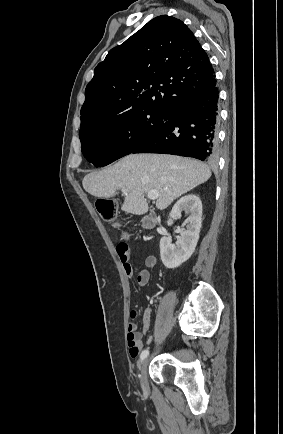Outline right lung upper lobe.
Masks as SVG:
<instances>
[{
	"label": "right lung upper lobe",
	"mask_w": 283,
	"mask_h": 434,
	"mask_svg": "<svg viewBox=\"0 0 283 434\" xmlns=\"http://www.w3.org/2000/svg\"><path fill=\"white\" fill-rule=\"evenodd\" d=\"M215 85L208 55L192 31L161 15L97 65L85 90L80 130L136 109L168 111Z\"/></svg>",
	"instance_id": "cb5924a9"
}]
</instances>
